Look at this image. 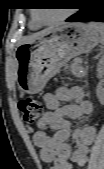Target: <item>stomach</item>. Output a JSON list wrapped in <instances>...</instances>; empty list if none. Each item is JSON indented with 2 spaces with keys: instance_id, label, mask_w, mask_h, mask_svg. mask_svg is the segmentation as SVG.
Masks as SVG:
<instances>
[{
  "instance_id": "1",
  "label": "stomach",
  "mask_w": 104,
  "mask_h": 169,
  "mask_svg": "<svg viewBox=\"0 0 104 169\" xmlns=\"http://www.w3.org/2000/svg\"><path fill=\"white\" fill-rule=\"evenodd\" d=\"M103 33L90 24L72 23L25 41L16 50V81L23 93L41 91L70 59L91 51Z\"/></svg>"
}]
</instances>
